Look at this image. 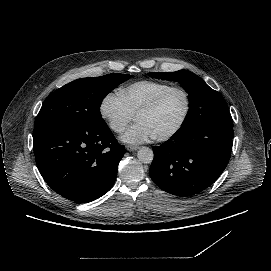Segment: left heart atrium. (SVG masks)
Returning a JSON list of instances; mask_svg holds the SVG:
<instances>
[{
    "label": "left heart atrium",
    "instance_id": "left-heart-atrium-1",
    "mask_svg": "<svg viewBox=\"0 0 271 271\" xmlns=\"http://www.w3.org/2000/svg\"><path fill=\"white\" fill-rule=\"evenodd\" d=\"M153 138V133L145 123L136 122L122 136L121 140L128 144H143L151 141Z\"/></svg>",
    "mask_w": 271,
    "mask_h": 271
}]
</instances>
